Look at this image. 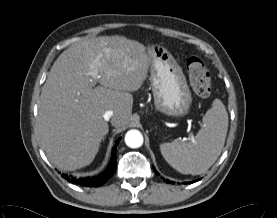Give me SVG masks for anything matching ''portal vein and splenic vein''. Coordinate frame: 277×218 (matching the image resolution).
Instances as JSON below:
<instances>
[{
  "label": "portal vein and splenic vein",
  "mask_w": 277,
  "mask_h": 218,
  "mask_svg": "<svg viewBox=\"0 0 277 218\" xmlns=\"http://www.w3.org/2000/svg\"><path fill=\"white\" fill-rule=\"evenodd\" d=\"M91 69H92L91 75L94 79H96L97 78V71L94 69V66H91ZM94 85L95 84H92V86H94Z\"/></svg>",
  "instance_id": "portal-vein-and-splenic-vein-1"
}]
</instances>
